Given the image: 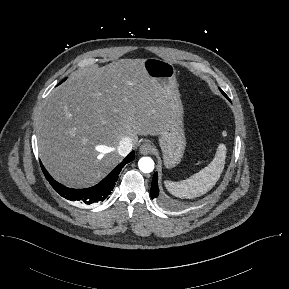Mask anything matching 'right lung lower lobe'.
Returning a JSON list of instances; mask_svg holds the SVG:
<instances>
[{"mask_svg":"<svg viewBox=\"0 0 289 289\" xmlns=\"http://www.w3.org/2000/svg\"><path fill=\"white\" fill-rule=\"evenodd\" d=\"M134 159V151H132L116 168H114L109 175H107L100 183L97 185L85 188V189H71L55 181L44 166L41 164L42 171L55 189V191L62 197L70 200L76 201L84 204H95L100 201H104L106 197L111 193L115 186V182L118 179V175L125 164L131 162Z\"/></svg>","mask_w":289,"mask_h":289,"instance_id":"98d812e1","label":"right lung lower lobe"}]
</instances>
